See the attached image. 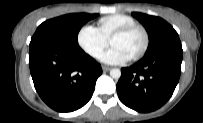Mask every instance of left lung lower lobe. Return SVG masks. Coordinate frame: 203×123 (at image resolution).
Wrapping results in <instances>:
<instances>
[{
	"mask_svg": "<svg viewBox=\"0 0 203 123\" xmlns=\"http://www.w3.org/2000/svg\"><path fill=\"white\" fill-rule=\"evenodd\" d=\"M183 50L173 44L122 68L117 93L126 106L138 112L160 108L172 96L181 73Z\"/></svg>",
	"mask_w": 203,
	"mask_h": 123,
	"instance_id": "left-lung-lower-lobe-1",
	"label": "left lung lower lobe"
}]
</instances>
